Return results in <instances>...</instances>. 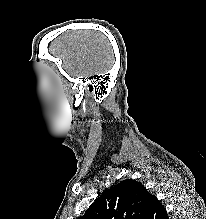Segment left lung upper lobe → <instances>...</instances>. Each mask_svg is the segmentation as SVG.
Masks as SVG:
<instances>
[{
    "label": "left lung upper lobe",
    "mask_w": 206,
    "mask_h": 219,
    "mask_svg": "<svg viewBox=\"0 0 206 219\" xmlns=\"http://www.w3.org/2000/svg\"><path fill=\"white\" fill-rule=\"evenodd\" d=\"M153 197L142 184L126 179L104 191L77 219H147Z\"/></svg>",
    "instance_id": "5c2ea615"
}]
</instances>
